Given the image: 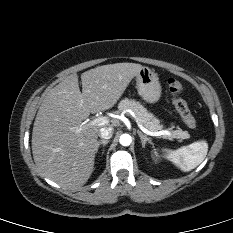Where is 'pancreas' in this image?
Returning <instances> with one entry per match:
<instances>
[{"mask_svg":"<svg viewBox=\"0 0 233 233\" xmlns=\"http://www.w3.org/2000/svg\"><path fill=\"white\" fill-rule=\"evenodd\" d=\"M118 109L120 112L128 109L132 110L139 122L150 131H158L162 129L160 121L154 117L152 113H149L143 105L133 99L125 98L121 100L118 104ZM171 137L188 138L189 134L188 132L182 131L180 128H178V130L172 131Z\"/></svg>","mask_w":233,"mask_h":233,"instance_id":"cf45deb5","label":"pancreas"}]
</instances>
